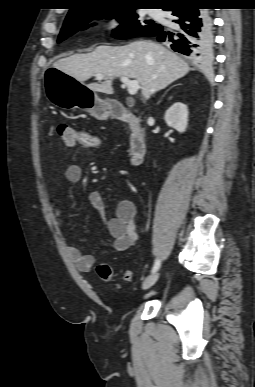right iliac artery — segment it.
<instances>
[{
    "mask_svg": "<svg viewBox=\"0 0 255 387\" xmlns=\"http://www.w3.org/2000/svg\"><path fill=\"white\" fill-rule=\"evenodd\" d=\"M159 267H160V261L159 259H156L151 272L152 273L156 272L159 269Z\"/></svg>",
    "mask_w": 255,
    "mask_h": 387,
    "instance_id": "right-iliac-artery-1",
    "label": "right iliac artery"
}]
</instances>
